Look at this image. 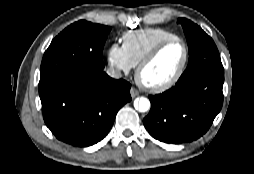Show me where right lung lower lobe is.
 Here are the masks:
<instances>
[{
	"label": "right lung lower lobe",
	"mask_w": 254,
	"mask_h": 174,
	"mask_svg": "<svg viewBox=\"0 0 254 174\" xmlns=\"http://www.w3.org/2000/svg\"><path fill=\"white\" fill-rule=\"evenodd\" d=\"M129 82L103 70L77 71L39 86L43 118L55 137L76 147L101 141L131 100Z\"/></svg>",
	"instance_id": "1"
}]
</instances>
